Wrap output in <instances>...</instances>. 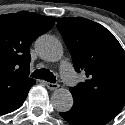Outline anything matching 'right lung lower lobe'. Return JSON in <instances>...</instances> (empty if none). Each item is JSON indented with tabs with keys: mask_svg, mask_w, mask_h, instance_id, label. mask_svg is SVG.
I'll list each match as a JSON object with an SVG mask.
<instances>
[{
	"mask_svg": "<svg viewBox=\"0 0 125 125\" xmlns=\"http://www.w3.org/2000/svg\"><path fill=\"white\" fill-rule=\"evenodd\" d=\"M32 85L22 90H12L0 95V115L13 112L19 108L26 99Z\"/></svg>",
	"mask_w": 125,
	"mask_h": 125,
	"instance_id": "1",
	"label": "right lung lower lobe"
}]
</instances>
